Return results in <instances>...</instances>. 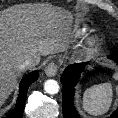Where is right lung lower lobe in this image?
I'll use <instances>...</instances> for the list:
<instances>
[{
	"label": "right lung lower lobe",
	"mask_w": 118,
	"mask_h": 118,
	"mask_svg": "<svg viewBox=\"0 0 118 118\" xmlns=\"http://www.w3.org/2000/svg\"><path fill=\"white\" fill-rule=\"evenodd\" d=\"M39 77L38 71H33L27 75L19 85V94L14 110L5 118H22L28 87Z\"/></svg>",
	"instance_id": "right-lung-lower-lobe-1"
}]
</instances>
